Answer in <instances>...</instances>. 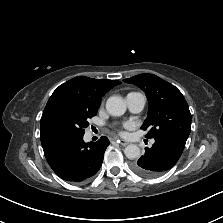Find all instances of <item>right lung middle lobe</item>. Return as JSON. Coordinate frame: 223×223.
<instances>
[{
  "label": "right lung middle lobe",
  "mask_w": 223,
  "mask_h": 223,
  "mask_svg": "<svg viewBox=\"0 0 223 223\" xmlns=\"http://www.w3.org/2000/svg\"><path fill=\"white\" fill-rule=\"evenodd\" d=\"M98 107L75 101L57 104L47 117V129L53 136H83L89 118L97 113Z\"/></svg>",
  "instance_id": "dd1d6c3e"
}]
</instances>
